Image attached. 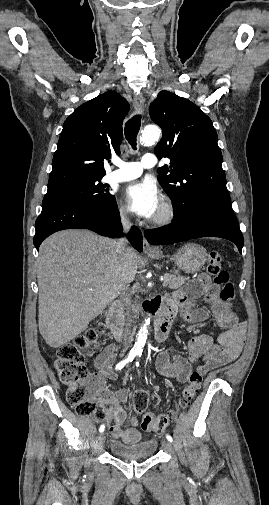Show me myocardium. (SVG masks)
<instances>
[{
	"label": "myocardium",
	"mask_w": 269,
	"mask_h": 505,
	"mask_svg": "<svg viewBox=\"0 0 269 505\" xmlns=\"http://www.w3.org/2000/svg\"><path fill=\"white\" fill-rule=\"evenodd\" d=\"M176 215L175 205L169 198H164L161 203L160 211L152 219V224L163 226L171 223Z\"/></svg>",
	"instance_id": "obj_1"
}]
</instances>
